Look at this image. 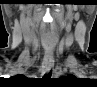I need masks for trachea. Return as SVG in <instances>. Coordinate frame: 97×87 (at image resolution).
<instances>
[{
    "label": "trachea",
    "mask_w": 97,
    "mask_h": 87,
    "mask_svg": "<svg viewBox=\"0 0 97 87\" xmlns=\"http://www.w3.org/2000/svg\"><path fill=\"white\" fill-rule=\"evenodd\" d=\"M51 77V72H49L48 74H46L45 76H44V78H50Z\"/></svg>",
    "instance_id": "obj_1"
}]
</instances>
